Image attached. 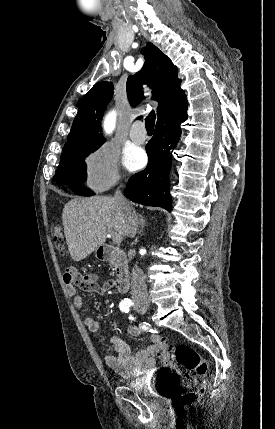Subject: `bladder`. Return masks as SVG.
<instances>
[{
	"label": "bladder",
	"instance_id": "bladder-1",
	"mask_svg": "<svg viewBox=\"0 0 275 429\" xmlns=\"http://www.w3.org/2000/svg\"><path fill=\"white\" fill-rule=\"evenodd\" d=\"M128 385L138 398H151L152 403H175L179 398L176 377L131 378Z\"/></svg>",
	"mask_w": 275,
	"mask_h": 429
}]
</instances>
